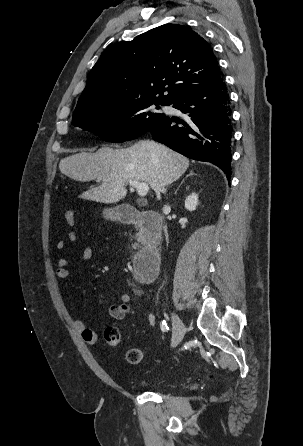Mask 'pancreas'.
I'll return each instance as SVG.
<instances>
[{"label":"pancreas","instance_id":"cf45deb5","mask_svg":"<svg viewBox=\"0 0 303 446\" xmlns=\"http://www.w3.org/2000/svg\"><path fill=\"white\" fill-rule=\"evenodd\" d=\"M140 241V239L138 238V242ZM132 247L134 248V249H136L137 247H139V243H134V244H132Z\"/></svg>","mask_w":303,"mask_h":446}]
</instances>
